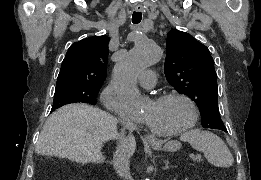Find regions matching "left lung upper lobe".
<instances>
[{
	"mask_svg": "<svg viewBox=\"0 0 261 180\" xmlns=\"http://www.w3.org/2000/svg\"><path fill=\"white\" fill-rule=\"evenodd\" d=\"M166 48L164 71L168 82L197 104L203 127L226 130L220 118L216 72L208 48L176 29L167 34Z\"/></svg>",
	"mask_w": 261,
	"mask_h": 180,
	"instance_id": "left-lung-upper-lobe-1",
	"label": "left lung upper lobe"
}]
</instances>
